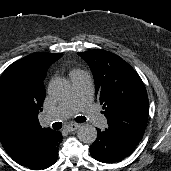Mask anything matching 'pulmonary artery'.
I'll return each instance as SVG.
<instances>
[{"mask_svg": "<svg viewBox=\"0 0 171 171\" xmlns=\"http://www.w3.org/2000/svg\"><path fill=\"white\" fill-rule=\"evenodd\" d=\"M73 92L63 103L46 113V121L53 122L69 118L82 111L96 127H104L106 118L93 107V87L91 76L87 72H78L70 76Z\"/></svg>", "mask_w": 171, "mask_h": 171, "instance_id": "pulmonary-artery-1", "label": "pulmonary artery"}]
</instances>
